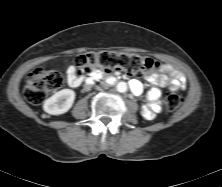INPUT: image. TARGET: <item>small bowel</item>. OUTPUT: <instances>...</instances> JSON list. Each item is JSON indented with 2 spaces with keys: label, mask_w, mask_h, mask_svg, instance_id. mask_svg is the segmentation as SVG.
<instances>
[{
  "label": "small bowel",
  "mask_w": 222,
  "mask_h": 187,
  "mask_svg": "<svg viewBox=\"0 0 222 187\" xmlns=\"http://www.w3.org/2000/svg\"><path fill=\"white\" fill-rule=\"evenodd\" d=\"M66 74L69 86L78 87L82 84L83 76L73 66L67 68ZM145 80L153 86L146 94L147 102L141 107V114L146 120L155 119L156 115L161 111L160 87L177 90L184 89L187 84L185 76L169 64H162L159 72L146 75ZM131 90L134 95L138 96L143 93V86L139 81L133 80Z\"/></svg>",
  "instance_id": "1"
}]
</instances>
